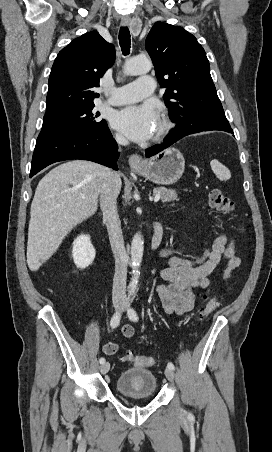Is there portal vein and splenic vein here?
I'll return each mask as SVG.
<instances>
[{"instance_id":"portal-vein-and-splenic-vein-1","label":"portal vein and splenic vein","mask_w":272,"mask_h":452,"mask_svg":"<svg viewBox=\"0 0 272 452\" xmlns=\"http://www.w3.org/2000/svg\"><path fill=\"white\" fill-rule=\"evenodd\" d=\"M160 197H161L160 194H156V195L154 196V202H158L159 199H160Z\"/></svg>"}]
</instances>
